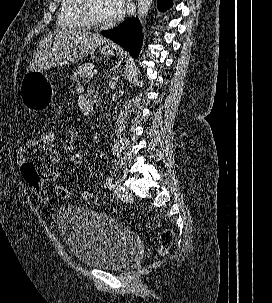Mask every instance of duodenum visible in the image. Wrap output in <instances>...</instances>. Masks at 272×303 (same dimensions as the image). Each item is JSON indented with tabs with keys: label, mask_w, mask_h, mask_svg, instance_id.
I'll return each instance as SVG.
<instances>
[{
	"label": "duodenum",
	"mask_w": 272,
	"mask_h": 303,
	"mask_svg": "<svg viewBox=\"0 0 272 303\" xmlns=\"http://www.w3.org/2000/svg\"><path fill=\"white\" fill-rule=\"evenodd\" d=\"M100 99L94 98L86 104L85 110L87 113H92L96 111L99 107Z\"/></svg>",
	"instance_id": "duodenum-1"
}]
</instances>
